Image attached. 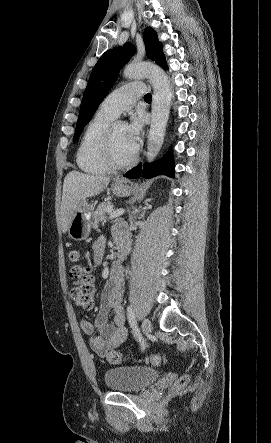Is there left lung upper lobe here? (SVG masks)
Wrapping results in <instances>:
<instances>
[{
    "instance_id": "5c2ea615",
    "label": "left lung upper lobe",
    "mask_w": 271,
    "mask_h": 443,
    "mask_svg": "<svg viewBox=\"0 0 271 443\" xmlns=\"http://www.w3.org/2000/svg\"><path fill=\"white\" fill-rule=\"evenodd\" d=\"M144 42L147 57L157 61L163 56L162 44L157 38V33L152 28L144 31ZM135 48L129 44L106 51L98 60L92 70L88 85L81 102L79 117L73 141H76L85 125L93 117L98 105L115 83L120 69L134 54Z\"/></svg>"
}]
</instances>
